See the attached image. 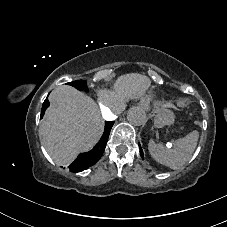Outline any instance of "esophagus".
<instances>
[{"instance_id": "34e87169", "label": "esophagus", "mask_w": 227, "mask_h": 227, "mask_svg": "<svg viewBox=\"0 0 227 227\" xmlns=\"http://www.w3.org/2000/svg\"><path fill=\"white\" fill-rule=\"evenodd\" d=\"M140 109H141L142 112L147 113V112L150 111L151 106H150V104L147 100H142L140 102Z\"/></svg>"}]
</instances>
